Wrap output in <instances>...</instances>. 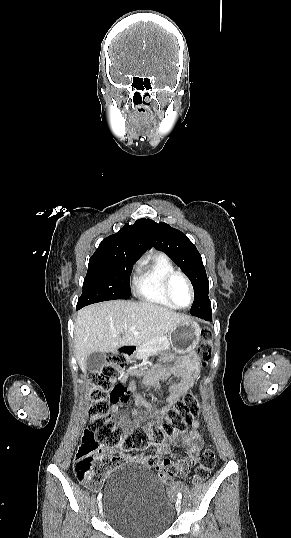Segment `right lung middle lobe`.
Masks as SVG:
<instances>
[{"instance_id":"dd1d6c3e","label":"right lung middle lobe","mask_w":291,"mask_h":538,"mask_svg":"<svg viewBox=\"0 0 291 538\" xmlns=\"http://www.w3.org/2000/svg\"><path fill=\"white\" fill-rule=\"evenodd\" d=\"M137 259L128 256L92 255L77 310L96 302L129 299L130 274Z\"/></svg>"}]
</instances>
